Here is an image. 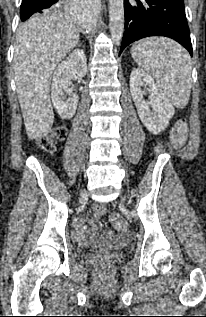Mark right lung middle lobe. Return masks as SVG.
Wrapping results in <instances>:
<instances>
[{
	"mask_svg": "<svg viewBox=\"0 0 206 317\" xmlns=\"http://www.w3.org/2000/svg\"><path fill=\"white\" fill-rule=\"evenodd\" d=\"M33 0H22L21 8H20V18L21 21L27 20L31 15L37 13L41 8L36 7L31 2ZM67 4V0H59L54 6L50 7L49 10L51 12H58L65 8ZM45 12V11H44Z\"/></svg>",
	"mask_w": 206,
	"mask_h": 317,
	"instance_id": "1",
	"label": "right lung middle lobe"
}]
</instances>
